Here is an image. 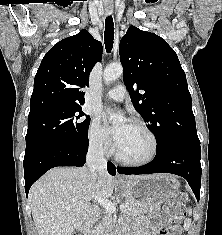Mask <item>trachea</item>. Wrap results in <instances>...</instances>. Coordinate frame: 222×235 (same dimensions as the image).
Segmentation results:
<instances>
[{"label":"trachea","instance_id":"trachea-1","mask_svg":"<svg viewBox=\"0 0 222 235\" xmlns=\"http://www.w3.org/2000/svg\"><path fill=\"white\" fill-rule=\"evenodd\" d=\"M114 40V22L111 15L105 19L104 41L107 53H110L113 47Z\"/></svg>","mask_w":222,"mask_h":235}]
</instances>
